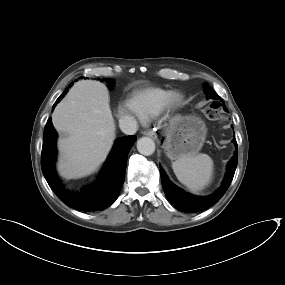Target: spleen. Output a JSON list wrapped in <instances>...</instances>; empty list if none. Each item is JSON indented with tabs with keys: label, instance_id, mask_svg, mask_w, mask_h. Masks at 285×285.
Listing matches in <instances>:
<instances>
[{
	"label": "spleen",
	"instance_id": "3e777b00",
	"mask_svg": "<svg viewBox=\"0 0 285 285\" xmlns=\"http://www.w3.org/2000/svg\"><path fill=\"white\" fill-rule=\"evenodd\" d=\"M172 168L178 180L194 193L208 186L213 177V160L203 153L183 155Z\"/></svg>",
	"mask_w": 285,
	"mask_h": 285
}]
</instances>
